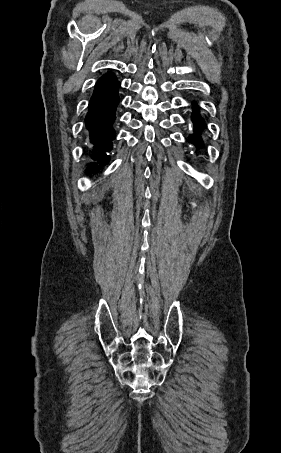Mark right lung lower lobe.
Masks as SVG:
<instances>
[{
    "mask_svg": "<svg viewBox=\"0 0 281 453\" xmlns=\"http://www.w3.org/2000/svg\"><path fill=\"white\" fill-rule=\"evenodd\" d=\"M119 87L120 83L112 73L103 75L95 85L85 122L93 145L91 158L96 162L89 163L88 171H97L100 165L105 166L109 162L107 153L111 151L115 138L112 125L119 104Z\"/></svg>",
    "mask_w": 281,
    "mask_h": 453,
    "instance_id": "98d812e1",
    "label": "right lung lower lobe"
}]
</instances>
